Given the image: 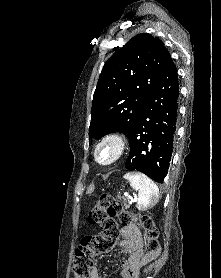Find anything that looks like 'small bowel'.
<instances>
[{
	"label": "small bowel",
	"instance_id": "obj_1",
	"mask_svg": "<svg viewBox=\"0 0 221 278\" xmlns=\"http://www.w3.org/2000/svg\"><path fill=\"white\" fill-rule=\"evenodd\" d=\"M122 240L118 252L128 255V259L121 264V278H139L140 267L153 257L146 254L143 249V236L135 223L125 225L121 229ZM90 278H104L100 276L96 267L91 270Z\"/></svg>",
	"mask_w": 221,
	"mask_h": 278
}]
</instances>
